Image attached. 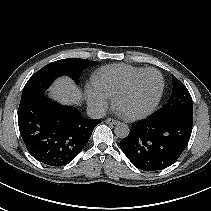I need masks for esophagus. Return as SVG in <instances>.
Here are the masks:
<instances>
[{
    "label": "esophagus",
    "instance_id": "esophagus-1",
    "mask_svg": "<svg viewBox=\"0 0 211 211\" xmlns=\"http://www.w3.org/2000/svg\"><path fill=\"white\" fill-rule=\"evenodd\" d=\"M105 122H106L107 124H109V125H115V124H118V123H119L118 120L113 119V118H107V119L105 120Z\"/></svg>",
    "mask_w": 211,
    "mask_h": 211
}]
</instances>
